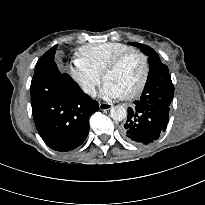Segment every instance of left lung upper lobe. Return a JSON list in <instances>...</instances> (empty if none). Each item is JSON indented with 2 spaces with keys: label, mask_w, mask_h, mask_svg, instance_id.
<instances>
[{
  "label": "left lung upper lobe",
  "mask_w": 205,
  "mask_h": 205,
  "mask_svg": "<svg viewBox=\"0 0 205 205\" xmlns=\"http://www.w3.org/2000/svg\"><path fill=\"white\" fill-rule=\"evenodd\" d=\"M129 44L139 47L148 56L150 65L148 79L140 100L170 105L173 100L174 86L168 67L160 61L158 54L151 47L135 42H129Z\"/></svg>",
  "instance_id": "left-lung-upper-lobe-1"
}]
</instances>
